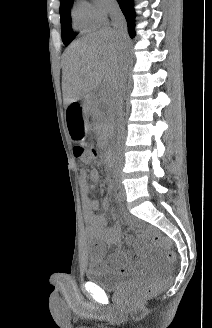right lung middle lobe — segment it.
I'll use <instances>...</instances> for the list:
<instances>
[{"label":"right lung middle lobe","mask_w":212,"mask_h":328,"mask_svg":"<svg viewBox=\"0 0 212 328\" xmlns=\"http://www.w3.org/2000/svg\"><path fill=\"white\" fill-rule=\"evenodd\" d=\"M74 0H60V20L62 40L64 45H69L76 37L71 27L70 8Z\"/></svg>","instance_id":"obj_1"}]
</instances>
